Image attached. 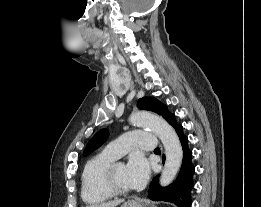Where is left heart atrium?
<instances>
[{"label":"left heart atrium","instance_id":"obj_1","mask_svg":"<svg viewBox=\"0 0 261 207\" xmlns=\"http://www.w3.org/2000/svg\"><path fill=\"white\" fill-rule=\"evenodd\" d=\"M150 174V164L139 153L133 154L126 165V176L131 188L143 186Z\"/></svg>","mask_w":261,"mask_h":207}]
</instances>
